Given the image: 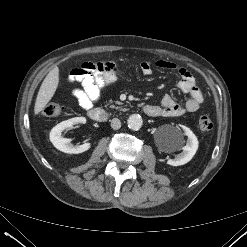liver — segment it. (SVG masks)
Listing matches in <instances>:
<instances>
[{
	"mask_svg": "<svg viewBox=\"0 0 247 247\" xmlns=\"http://www.w3.org/2000/svg\"><path fill=\"white\" fill-rule=\"evenodd\" d=\"M59 83V69L54 67L43 80L34 106V113L41 112L52 99Z\"/></svg>",
	"mask_w": 247,
	"mask_h": 247,
	"instance_id": "liver-1",
	"label": "liver"
}]
</instances>
